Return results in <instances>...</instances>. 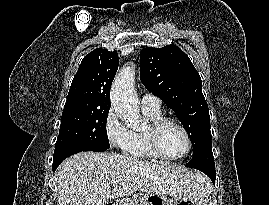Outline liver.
<instances>
[{"label": "liver", "mask_w": 269, "mask_h": 205, "mask_svg": "<svg viewBox=\"0 0 269 205\" xmlns=\"http://www.w3.org/2000/svg\"><path fill=\"white\" fill-rule=\"evenodd\" d=\"M121 178L113 190L110 181ZM57 205H105L136 191L177 195L205 191L200 172L161 166L117 153L81 152L66 159L55 172Z\"/></svg>", "instance_id": "1"}]
</instances>
